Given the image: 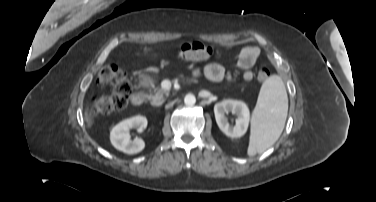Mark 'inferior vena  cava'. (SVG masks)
I'll return each instance as SVG.
<instances>
[{
	"label": "inferior vena cava",
	"mask_w": 376,
	"mask_h": 202,
	"mask_svg": "<svg viewBox=\"0 0 376 202\" xmlns=\"http://www.w3.org/2000/svg\"><path fill=\"white\" fill-rule=\"evenodd\" d=\"M172 104H170V105H166V107L168 108L169 106H171Z\"/></svg>",
	"instance_id": "602c4592"
}]
</instances>
